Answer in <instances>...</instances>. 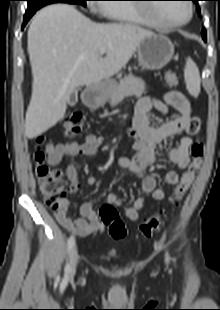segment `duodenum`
I'll use <instances>...</instances> for the list:
<instances>
[{"mask_svg":"<svg viewBox=\"0 0 220 310\" xmlns=\"http://www.w3.org/2000/svg\"><path fill=\"white\" fill-rule=\"evenodd\" d=\"M93 98V93H87L85 96L86 101L88 102V100H92Z\"/></svg>","mask_w":220,"mask_h":310,"instance_id":"1","label":"duodenum"}]
</instances>
